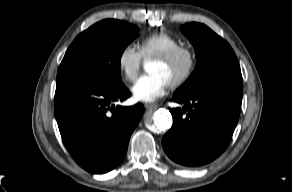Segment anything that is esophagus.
Returning <instances> with one entry per match:
<instances>
[{"label": "esophagus", "instance_id": "esophagus-1", "mask_svg": "<svg viewBox=\"0 0 292 192\" xmlns=\"http://www.w3.org/2000/svg\"><path fill=\"white\" fill-rule=\"evenodd\" d=\"M144 106L146 109H156L158 107V105L154 103H145Z\"/></svg>", "mask_w": 292, "mask_h": 192}]
</instances>
